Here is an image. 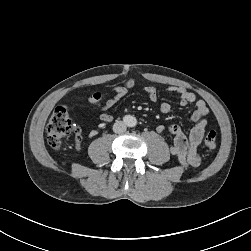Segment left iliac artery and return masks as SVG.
<instances>
[{
  "instance_id": "left-iliac-artery-1",
  "label": "left iliac artery",
  "mask_w": 251,
  "mask_h": 251,
  "mask_svg": "<svg viewBox=\"0 0 251 251\" xmlns=\"http://www.w3.org/2000/svg\"><path fill=\"white\" fill-rule=\"evenodd\" d=\"M135 123H136L135 120H133V121H132V125H135Z\"/></svg>"
}]
</instances>
